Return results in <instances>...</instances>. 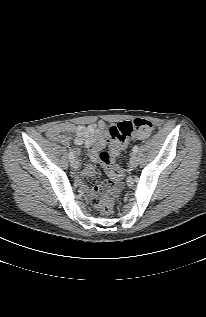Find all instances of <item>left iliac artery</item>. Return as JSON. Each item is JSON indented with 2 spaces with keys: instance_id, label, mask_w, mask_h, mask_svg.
I'll list each match as a JSON object with an SVG mask.
<instances>
[{
  "instance_id": "left-iliac-artery-1",
  "label": "left iliac artery",
  "mask_w": 206,
  "mask_h": 317,
  "mask_svg": "<svg viewBox=\"0 0 206 317\" xmlns=\"http://www.w3.org/2000/svg\"><path fill=\"white\" fill-rule=\"evenodd\" d=\"M138 149H139L138 146L135 145V146L133 147V152H134V153H137V152H138Z\"/></svg>"
}]
</instances>
